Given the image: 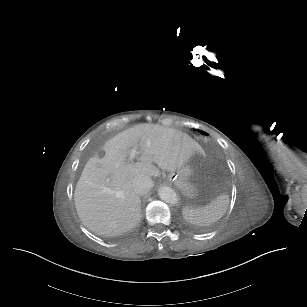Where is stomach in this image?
I'll list each match as a JSON object with an SVG mask.
<instances>
[{
	"mask_svg": "<svg viewBox=\"0 0 307 307\" xmlns=\"http://www.w3.org/2000/svg\"><path fill=\"white\" fill-rule=\"evenodd\" d=\"M201 161L202 153L195 152L180 168L169 172V181L173 182L184 194L192 193L195 189L193 180Z\"/></svg>",
	"mask_w": 307,
	"mask_h": 307,
	"instance_id": "1",
	"label": "stomach"
}]
</instances>
